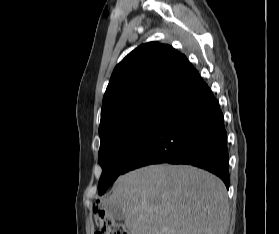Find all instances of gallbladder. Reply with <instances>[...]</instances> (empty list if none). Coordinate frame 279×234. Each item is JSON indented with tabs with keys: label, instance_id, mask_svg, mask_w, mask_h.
I'll list each match as a JSON object with an SVG mask.
<instances>
[{
	"label": "gallbladder",
	"instance_id": "bac80fb5",
	"mask_svg": "<svg viewBox=\"0 0 279 234\" xmlns=\"http://www.w3.org/2000/svg\"><path fill=\"white\" fill-rule=\"evenodd\" d=\"M105 210L108 216L114 220L124 219V213L122 207L119 204L106 205Z\"/></svg>",
	"mask_w": 279,
	"mask_h": 234
}]
</instances>
